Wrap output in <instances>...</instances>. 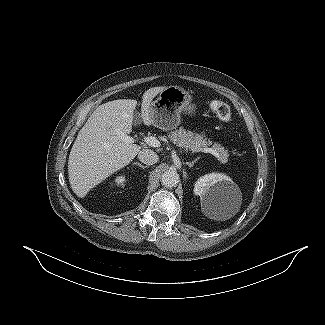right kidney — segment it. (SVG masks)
<instances>
[{"label": "right kidney", "mask_w": 325, "mask_h": 325, "mask_svg": "<svg viewBox=\"0 0 325 325\" xmlns=\"http://www.w3.org/2000/svg\"><path fill=\"white\" fill-rule=\"evenodd\" d=\"M127 182V178L125 175H120L115 178V180L111 183V186H124Z\"/></svg>", "instance_id": "obj_1"}]
</instances>
